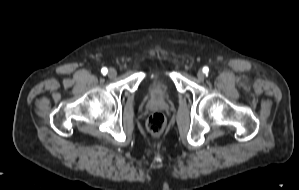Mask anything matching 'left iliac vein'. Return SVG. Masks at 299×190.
Returning <instances> with one entry per match:
<instances>
[{
	"instance_id": "obj_1",
	"label": "left iliac vein",
	"mask_w": 299,
	"mask_h": 190,
	"mask_svg": "<svg viewBox=\"0 0 299 190\" xmlns=\"http://www.w3.org/2000/svg\"><path fill=\"white\" fill-rule=\"evenodd\" d=\"M197 78L200 80V81H203L204 78H205V73L203 71H198L197 73Z\"/></svg>"
}]
</instances>
